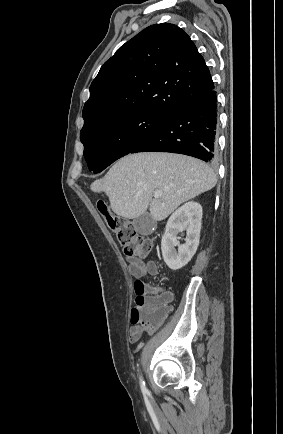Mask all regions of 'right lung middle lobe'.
I'll list each match as a JSON object with an SVG mask.
<instances>
[{"instance_id": "obj_1", "label": "right lung middle lobe", "mask_w": 283, "mask_h": 434, "mask_svg": "<svg viewBox=\"0 0 283 434\" xmlns=\"http://www.w3.org/2000/svg\"><path fill=\"white\" fill-rule=\"evenodd\" d=\"M170 116L140 110L114 116L82 130L80 137L89 170L99 173L117 159L129 154Z\"/></svg>"}]
</instances>
